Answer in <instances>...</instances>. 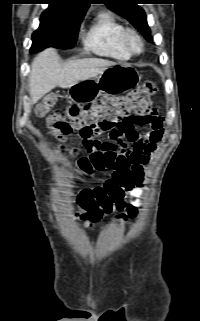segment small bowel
<instances>
[{"instance_id":"c3829d8e","label":"small bowel","mask_w":200,"mask_h":321,"mask_svg":"<svg viewBox=\"0 0 200 321\" xmlns=\"http://www.w3.org/2000/svg\"><path fill=\"white\" fill-rule=\"evenodd\" d=\"M142 127L147 129L144 133L139 131ZM163 135V119L156 110L124 119L110 128L95 127L81 134L82 145L89 154L98 153L114 162L125 161L138 184L143 179V166L149 162ZM142 195L141 188L133 189L129 205L114 216V221L122 223L137 217Z\"/></svg>"}]
</instances>
